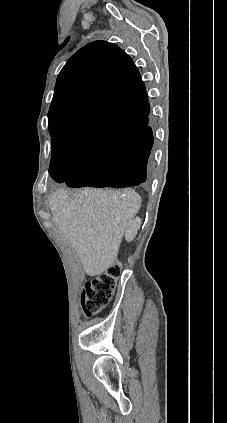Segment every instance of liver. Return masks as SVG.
Here are the masks:
<instances>
[{"instance_id":"6515ba94","label":"liver","mask_w":227,"mask_h":423,"mask_svg":"<svg viewBox=\"0 0 227 423\" xmlns=\"http://www.w3.org/2000/svg\"><path fill=\"white\" fill-rule=\"evenodd\" d=\"M53 221L74 247L85 273L100 275L115 263L121 241L141 198L133 190H58L50 204Z\"/></svg>"}]
</instances>
